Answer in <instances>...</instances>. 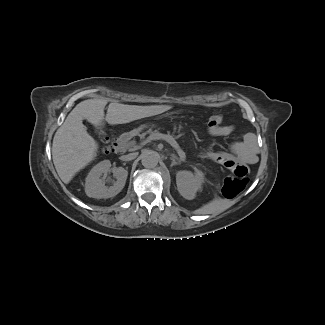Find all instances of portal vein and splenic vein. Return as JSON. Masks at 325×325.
Returning a JSON list of instances; mask_svg holds the SVG:
<instances>
[{
  "instance_id": "1",
  "label": "portal vein and splenic vein",
  "mask_w": 325,
  "mask_h": 325,
  "mask_svg": "<svg viewBox=\"0 0 325 325\" xmlns=\"http://www.w3.org/2000/svg\"><path fill=\"white\" fill-rule=\"evenodd\" d=\"M159 136H160V138H162L164 140L168 139L170 141V143L177 149L180 158L185 159V153L180 149L179 145L173 138L168 137L167 135H163V134H160Z\"/></svg>"
}]
</instances>
